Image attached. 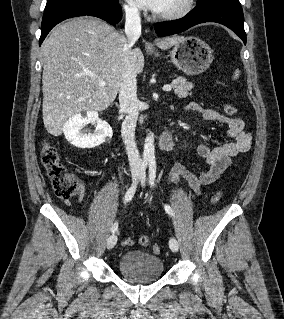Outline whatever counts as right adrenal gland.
I'll return each instance as SVG.
<instances>
[{"label":"right adrenal gland","instance_id":"1","mask_svg":"<svg viewBox=\"0 0 284 319\" xmlns=\"http://www.w3.org/2000/svg\"><path fill=\"white\" fill-rule=\"evenodd\" d=\"M115 105L118 107L119 105H118V103H115Z\"/></svg>","mask_w":284,"mask_h":319}]
</instances>
